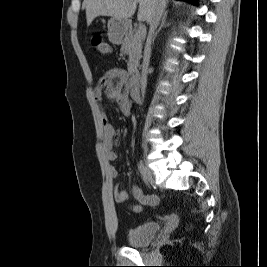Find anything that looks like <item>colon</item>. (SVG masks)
Masks as SVG:
<instances>
[{"label": "colon", "mask_w": 267, "mask_h": 267, "mask_svg": "<svg viewBox=\"0 0 267 267\" xmlns=\"http://www.w3.org/2000/svg\"><path fill=\"white\" fill-rule=\"evenodd\" d=\"M92 43L96 51L101 55H107L111 52L109 43L100 35L95 36Z\"/></svg>", "instance_id": "colon-1"}]
</instances>
